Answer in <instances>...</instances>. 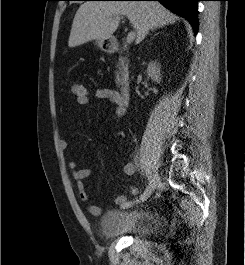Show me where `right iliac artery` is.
<instances>
[{
  "mask_svg": "<svg viewBox=\"0 0 245 265\" xmlns=\"http://www.w3.org/2000/svg\"><path fill=\"white\" fill-rule=\"evenodd\" d=\"M148 181H149V185L147 186V188L144 191V193L139 197V199H136L133 202L132 201L124 202L121 205V207L125 209V208L132 207L134 205L143 204L147 200V198L149 197L150 187H151V184H152V176L151 175H148Z\"/></svg>",
  "mask_w": 245,
  "mask_h": 265,
  "instance_id": "82829eb1",
  "label": "right iliac artery"
}]
</instances>
